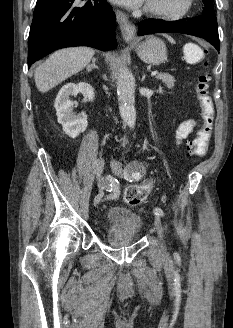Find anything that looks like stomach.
Listing matches in <instances>:
<instances>
[{
	"label": "stomach",
	"instance_id": "0dacf381",
	"mask_svg": "<svg viewBox=\"0 0 233 328\" xmlns=\"http://www.w3.org/2000/svg\"><path fill=\"white\" fill-rule=\"evenodd\" d=\"M135 49L141 60L151 65H159L167 59L165 43L153 35L146 36L144 40L136 42Z\"/></svg>",
	"mask_w": 233,
	"mask_h": 328
}]
</instances>
